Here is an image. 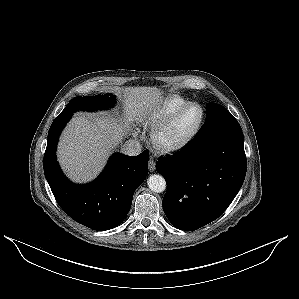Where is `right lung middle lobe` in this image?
Returning a JSON list of instances; mask_svg holds the SVG:
<instances>
[{
	"instance_id": "right-lung-middle-lobe-1",
	"label": "right lung middle lobe",
	"mask_w": 299,
	"mask_h": 299,
	"mask_svg": "<svg viewBox=\"0 0 299 299\" xmlns=\"http://www.w3.org/2000/svg\"><path fill=\"white\" fill-rule=\"evenodd\" d=\"M114 99L115 96L112 94L75 97L68 103L62 113L75 112L81 109L87 111L106 109L113 106Z\"/></svg>"
}]
</instances>
